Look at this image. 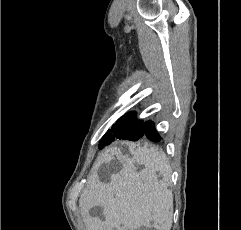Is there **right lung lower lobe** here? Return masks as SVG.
I'll list each match as a JSON object with an SVG mask.
<instances>
[{"label":"right lung lower lobe","instance_id":"right-lung-lower-lobe-1","mask_svg":"<svg viewBox=\"0 0 241 230\" xmlns=\"http://www.w3.org/2000/svg\"><path fill=\"white\" fill-rule=\"evenodd\" d=\"M134 113H128L126 115H131ZM135 115V114H134ZM128 131L137 134V136H146L148 139L154 142H159L161 140L160 136L154 128V124L151 121L143 123L141 120H136L134 124L128 127Z\"/></svg>","mask_w":241,"mask_h":230}]
</instances>
